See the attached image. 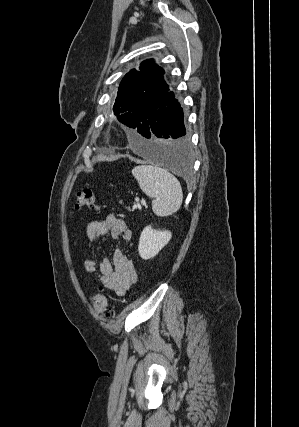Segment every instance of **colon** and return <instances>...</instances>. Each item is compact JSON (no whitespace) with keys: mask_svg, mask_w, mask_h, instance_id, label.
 <instances>
[{"mask_svg":"<svg viewBox=\"0 0 299 427\" xmlns=\"http://www.w3.org/2000/svg\"><path fill=\"white\" fill-rule=\"evenodd\" d=\"M98 208L97 198L90 189H83L77 193L74 209L76 212L95 210ZM92 306L97 314L104 318H111L114 314L113 308L109 306L106 296L96 294L91 298Z\"/></svg>","mask_w":299,"mask_h":427,"instance_id":"colon-1","label":"colon"}]
</instances>
